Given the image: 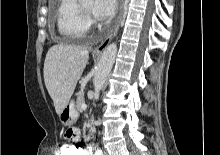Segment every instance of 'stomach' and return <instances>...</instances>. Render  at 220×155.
Returning <instances> with one entry per match:
<instances>
[{
    "mask_svg": "<svg viewBox=\"0 0 220 155\" xmlns=\"http://www.w3.org/2000/svg\"><path fill=\"white\" fill-rule=\"evenodd\" d=\"M77 118L78 112L73 102H69L59 114L60 121L66 126L73 124Z\"/></svg>",
    "mask_w": 220,
    "mask_h": 155,
    "instance_id": "1",
    "label": "stomach"
}]
</instances>
